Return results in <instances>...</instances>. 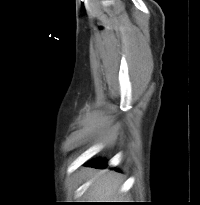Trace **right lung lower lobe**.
<instances>
[{
	"label": "right lung lower lobe",
	"instance_id": "right-lung-lower-lobe-1",
	"mask_svg": "<svg viewBox=\"0 0 200 205\" xmlns=\"http://www.w3.org/2000/svg\"><path fill=\"white\" fill-rule=\"evenodd\" d=\"M91 165L97 168H102L105 166V163L104 161H99V162L92 163Z\"/></svg>",
	"mask_w": 200,
	"mask_h": 205
}]
</instances>
